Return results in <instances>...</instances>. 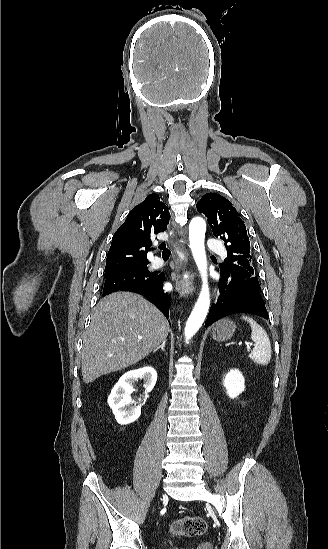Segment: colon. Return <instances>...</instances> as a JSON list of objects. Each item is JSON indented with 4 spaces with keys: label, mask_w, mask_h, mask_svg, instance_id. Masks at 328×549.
Masks as SVG:
<instances>
[{
    "label": "colon",
    "mask_w": 328,
    "mask_h": 549,
    "mask_svg": "<svg viewBox=\"0 0 328 549\" xmlns=\"http://www.w3.org/2000/svg\"><path fill=\"white\" fill-rule=\"evenodd\" d=\"M207 530L206 521L200 516H185L177 519L170 528V533L175 537H197Z\"/></svg>",
    "instance_id": "obj_1"
}]
</instances>
